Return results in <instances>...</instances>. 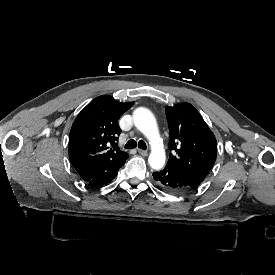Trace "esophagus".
Wrapping results in <instances>:
<instances>
[{
	"label": "esophagus",
	"mask_w": 275,
	"mask_h": 275,
	"mask_svg": "<svg viewBox=\"0 0 275 275\" xmlns=\"http://www.w3.org/2000/svg\"><path fill=\"white\" fill-rule=\"evenodd\" d=\"M137 151L139 152V154H141L142 156H147L148 152L142 149H137Z\"/></svg>",
	"instance_id": "obj_1"
}]
</instances>
